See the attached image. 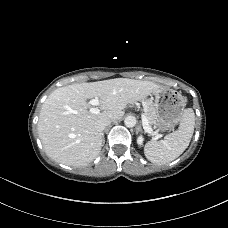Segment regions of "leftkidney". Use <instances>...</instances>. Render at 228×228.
Listing matches in <instances>:
<instances>
[{
	"mask_svg": "<svg viewBox=\"0 0 228 228\" xmlns=\"http://www.w3.org/2000/svg\"><path fill=\"white\" fill-rule=\"evenodd\" d=\"M143 142H144V137L143 136H139L137 138V144H138V146L141 147L143 145Z\"/></svg>",
	"mask_w": 228,
	"mask_h": 228,
	"instance_id": "1",
	"label": "left kidney"
}]
</instances>
